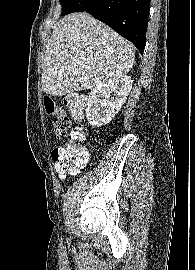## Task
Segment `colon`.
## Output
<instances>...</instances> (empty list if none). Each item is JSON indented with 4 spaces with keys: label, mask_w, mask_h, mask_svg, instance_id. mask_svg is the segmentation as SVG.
<instances>
[{
    "label": "colon",
    "mask_w": 195,
    "mask_h": 270,
    "mask_svg": "<svg viewBox=\"0 0 195 270\" xmlns=\"http://www.w3.org/2000/svg\"><path fill=\"white\" fill-rule=\"evenodd\" d=\"M43 103L45 112L54 116L53 127L55 133L57 135L65 134L70 127V119L66 112L51 97H44ZM64 104L74 119L81 120L83 118L87 105L86 98L83 95L71 93L65 97ZM83 140V132L74 130L63 144L53 148L52 160L60 177L75 173L86 163L88 154L82 146Z\"/></svg>",
    "instance_id": "5ec220e1"
}]
</instances>
